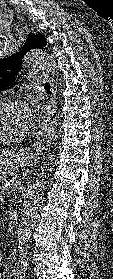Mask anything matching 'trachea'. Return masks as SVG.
Wrapping results in <instances>:
<instances>
[{
	"label": "trachea",
	"mask_w": 113,
	"mask_h": 279,
	"mask_svg": "<svg viewBox=\"0 0 113 279\" xmlns=\"http://www.w3.org/2000/svg\"><path fill=\"white\" fill-rule=\"evenodd\" d=\"M46 89H50V85L48 83L45 84Z\"/></svg>",
	"instance_id": "1"
}]
</instances>
